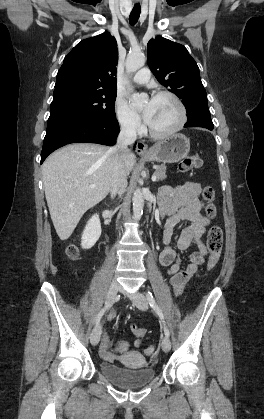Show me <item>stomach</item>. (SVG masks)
<instances>
[{
    "mask_svg": "<svg viewBox=\"0 0 264 419\" xmlns=\"http://www.w3.org/2000/svg\"><path fill=\"white\" fill-rule=\"evenodd\" d=\"M190 140L183 134H173L169 138L156 143L150 154L144 155L149 161L175 163L188 155Z\"/></svg>",
    "mask_w": 264,
    "mask_h": 419,
    "instance_id": "1",
    "label": "stomach"
}]
</instances>
